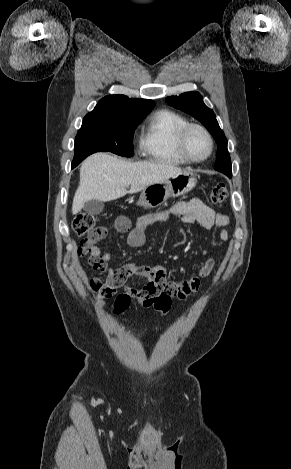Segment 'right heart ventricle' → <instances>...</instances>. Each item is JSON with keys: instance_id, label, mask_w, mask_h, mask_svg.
<instances>
[{"instance_id": "obj_1", "label": "right heart ventricle", "mask_w": 291, "mask_h": 469, "mask_svg": "<svg viewBox=\"0 0 291 469\" xmlns=\"http://www.w3.org/2000/svg\"><path fill=\"white\" fill-rule=\"evenodd\" d=\"M187 123L184 116L169 109H160L151 114L144 124L140 139L144 156L163 164H187L178 152L176 141L179 129Z\"/></svg>"}]
</instances>
